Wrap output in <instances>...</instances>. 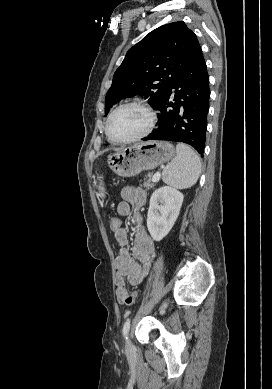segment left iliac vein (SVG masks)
I'll return each instance as SVG.
<instances>
[{
	"mask_svg": "<svg viewBox=\"0 0 272 389\" xmlns=\"http://www.w3.org/2000/svg\"><path fill=\"white\" fill-rule=\"evenodd\" d=\"M125 350L127 353H130L133 351V345L129 337L126 338L125 342Z\"/></svg>",
	"mask_w": 272,
	"mask_h": 389,
	"instance_id": "left-iliac-vein-1",
	"label": "left iliac vein"
}]
</instances>
